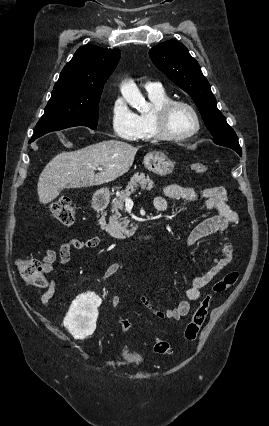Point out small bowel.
<instances>
[{
	"label": "small bowel",
	"mask_w": 269,
	"mask_h": 426,
	"mask_svg": "<svg viewBox=\"0 0 269 426\" xmlns=\"http://www.w3.org/2000/svg\"><path fill=\"white\" fill-rule=\"evenodd\" d=\"M163 196L154 199V207L158 211L166 209L165 198L176 200H187L198 203L202 209L216 210L217 215L209 217L196 226L191 232L187 244L194 246L201 239L219 233L224 235L230 225L238 222L237 213L230 207L227 201L226 191L223 187H207L195 189L176 184H170L163 188ZM101 239L98 236L87 239L70 238L60 244L55 249H46L41 258L43 272L50 274L54 270V263L58 261L65 265L70 262L72 250L93 249L100 245ZM233 259V249L231 244L225 243L219 257L214 260L213 266L203 275L195 276L192 279L191 286L186 291V298L181 300L174 308L161 311L156 309L147 296L141 295L139 301L143 307L153 313L159 319L180 320L186 316L190 310L191 303L197 301L201 296V290L205 288L214 277ZM123 271V265L119 262L110 264L103 273V281L120 274ZM56 280L49 278L42 287H39L40 299L44 306H48L56 290ZM44 288V290H42ZM113 307L121 304V299L115 296L111 300Z\"/></svg>",
	"instance_id": "small-bowel-1"
}]
</instances>
